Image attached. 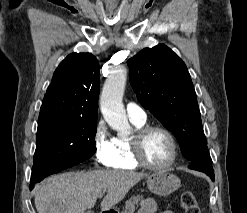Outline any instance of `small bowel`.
I'll use <instances>...</instances> for the list:
<instances>
[{
  "label": "small bowel",
  "instance_id": "small-bowel-1",
  "mask_svg": "<svg viewBox=\"0 0 247 213\" xmlns=\"http://www.w3.org/2000/svg\"><path fill=\"white\" fill-rule=\"evenodd\" d=\"M157 205L152 199H144L141 201L140 209L138 213H156ZM162 213H174L171 210H166Z\"/></svg>",
  "mask_w": 247,
  "mask_h": 213
}]
</instances>
